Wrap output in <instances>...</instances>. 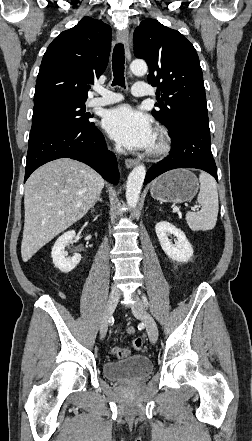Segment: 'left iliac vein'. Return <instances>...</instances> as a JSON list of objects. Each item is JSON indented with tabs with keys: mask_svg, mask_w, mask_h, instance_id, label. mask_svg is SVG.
Instances as JSON below:
<instances>
[{
	"mask_svg": "<svg viewBox=\"0 0 252 441\" xmlns=\"http://www.w3.org/2000/svg\"><path fill=\"white\" fill-rule=\"evenodd\" d=\"M136 302L132 306L133 314L136 318L141 319L146 327L147 334L152 343L158 338V329L154 318L146 311L138 296H135Z\"/></svg>",
	"mask_w": 252,
	"mask_h": 441,
	"instance_id": "obj_1",
	"label": "left iliac vein"
}]
</instances>
